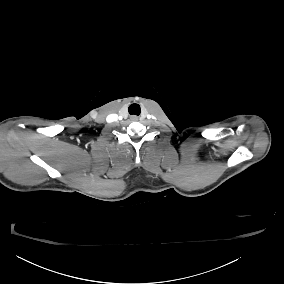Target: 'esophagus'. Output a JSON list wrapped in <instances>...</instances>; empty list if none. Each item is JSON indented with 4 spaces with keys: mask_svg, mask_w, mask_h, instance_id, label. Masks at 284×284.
Masks as SVG:
<instances>
[{
    "mask_svg": "<svg viewBox=\"0 0 284 284\" xmlns=\"http://www.w3.org/2000/svg\"><path fill=\"white\" fill-rule=\"evenodd\" d=\"M130 119L136 121V120H138V117H137L136 115H131V116H130Z\"/></svg>",
    "mask_w": 284,
    "mask_h": 284,
    "instance_id": "34e87169",
    "label": "esophagus"
}]
</instances>
